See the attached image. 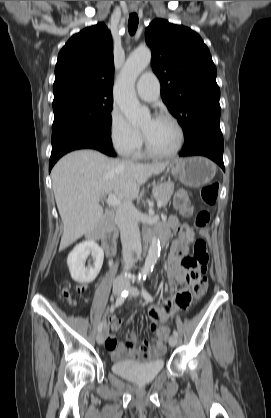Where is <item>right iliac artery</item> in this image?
Returning a JSON list of instances; mask_svg holds the SVG:
<instances>
[{"label":"right iliac artery","instance_id":"1","mask_svg":"<svg viewBox=\"0 0 271 418\" xmlns=\"http://www.w3.org/2000/svg\"><path fill=\"white\" fill-rule=\"evenodd\" d=\"M127 296H128V291H126V290L123 291L118 296V298L116 299L115 304L111 307V311L113 312L115 310V308L121 306L124 303V301H125V299H126ZM102 328H103V321L99 324L98 331L101 332L102 331Z\"/></svg>","mask_w":271,"mask_h":418}]
</instances>
